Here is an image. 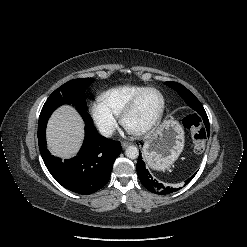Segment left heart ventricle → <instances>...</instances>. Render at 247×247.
<instances>
[{
	"instance_id": "1",
	"label": "left heart ventricle",
	"mask_w": 247,
	"mask_h": 247,
	"mask_svg": "<svg viewBox=\"0 0 247 247\" xmlns=\"http://www.w3.org/2000/svg\"><path fill=\"white\" fill-rule=\"evenodd\" d=\"M161 108V97L155 91L145 93L135 109L127 118V125L132 130H139L150 124Z\"/></svg>"
}]
</instances>
